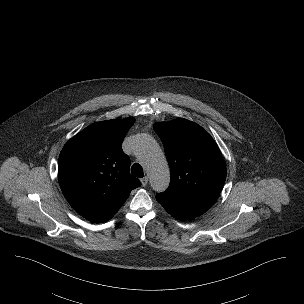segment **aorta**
<instances>
[{"label":"aorta","instance_id":"aorta-1","mask_svg":"<svg viewBox=\"0 0 304 304\" xmlns=\"http://www.w3.org/2000/svg\"><path fill=\"white\" fill-rule=\"evenodd\" d=\"M133 150L143 162L154 191L166 190L170 181V171L167 160L155 140L146 133L136 136Z\"/></svg>","mask_w":304,"mask_h":304}]
</instances>
